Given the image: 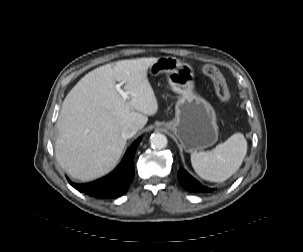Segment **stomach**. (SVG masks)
I'll list each match as a JSON object with an SVG mask.
<instances>
[{
	"instance_id": "obj_1",
	"label": "stomach",
	"mask_w": 303,
	"mask_h": 252,
	"mask_svg": "<svg viewBox=\"0 0 303 252\" xmlns=\"http://www.w3.org/2000/svg\"><path fill=\"white\" fill-rule=\"evenodd\" d=\"M152 75L166 74L171 89L179 94L175 118L164 126L173 132L186 152L212 146L218 140L216 113L209 102L194 93V69L176 57L165 56L149 67Z\"/></svg>"
}]
</instances>
